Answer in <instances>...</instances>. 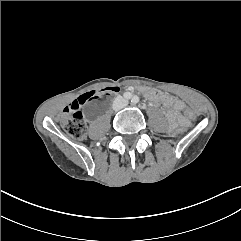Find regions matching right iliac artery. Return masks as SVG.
Segmentation results:
<instances>
[{
	"mask_svg": "<svg viewBox=\"0 0 241 241\" xmlns=\"http://www.w3.org/2000/svg\"><path fill=\"white\" fill-rule=\"evenodd\" d=\"M123 96H124V98L127 99V100H129V99L132 98V94H131L130 92H125Z\"/></svg>",
	"mask_w": 241,
	"mask_h": 241,
	"instance_id": "82829eb1",
	"label": "right iliac artery"
}]
</instances>
